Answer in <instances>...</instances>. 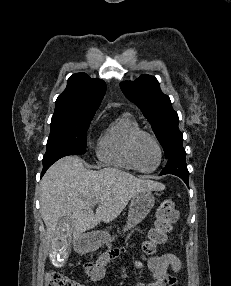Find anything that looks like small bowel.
<instances>
[{"instance_id":"obj_1","label":"small bowel","mask_w":231,"mask_h":286,"mask_svg":"<svg viewBox=\"0 0 231 286\" xmlns=\"http://www.w3.org/2000/svg\"><path fill=\"white\" fill-rule=\"evenodd\" d=\"M125 251V247L111 249L102 254L96 261L86 263L84 269L88 279L92 282L102 279L105 274V266ZM181 267V261L173 253L154 255L148 260L151 282H140L137 286H174L177 282L176 275L180 272ZM168 269L172 270V274L168 273Z\"/></svg>"}]
</instances>
